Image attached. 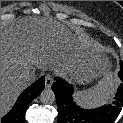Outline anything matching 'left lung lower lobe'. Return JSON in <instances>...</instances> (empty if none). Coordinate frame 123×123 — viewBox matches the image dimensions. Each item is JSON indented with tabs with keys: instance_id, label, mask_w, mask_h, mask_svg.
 Listing matches in <instances>:
<instances>
[{
	"instance_id": "left-lung-lower-lobe-1",
	"label": "left lung lower lobe",
	"mask_w": 123,
	"mask_h": 123,
	"mask_svg": "<svg viewBox=\"0 0 123 123\" xmlns=\"http://www.w3.org/2000/svg\"><path fill=\"white\" fill-rule=\"evenodd\" d=\"M123 82V63L118 73ZM58 105V123H113L123 107V83L117 90L112 104L86 110L78 107L72 99L73 86L61 78L52 85Z\"/></svg>"
}]
</instances>
